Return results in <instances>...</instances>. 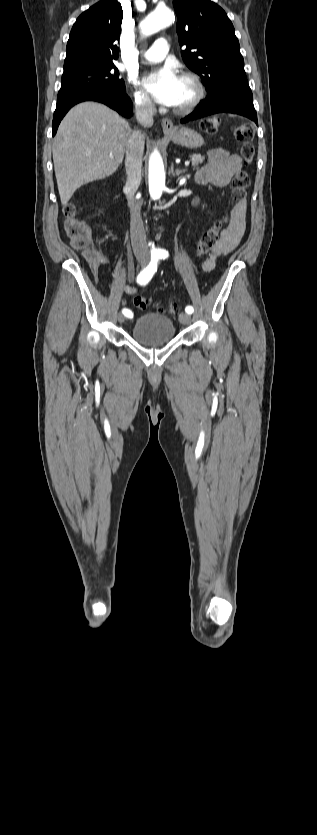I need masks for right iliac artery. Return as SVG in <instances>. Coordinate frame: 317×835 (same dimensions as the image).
<instances>
[{
  "label": "right iliac artery",
  "mask_w": 317,
  "mask_h": 835,
  "mask_svg": "<svg viewBox=\"0 0 317 835\" xmlns=\"http://www.w3.org/2000/svg\"><path fill=\"white\" fill-rule=\"evenodd\" d=\"M157 262H158V258L157 257H152L151 262L149 263V265L146 268H144L143 270L140 271V273L137 276V282L140 285H146L151 280L154 273L157 271ZM122 313L126 317H132L133 316V313L131 312V310L126 309V308H124L122 310Z\"/></svg>",
  "instance_id": "obj_1"
}]
</instances>
